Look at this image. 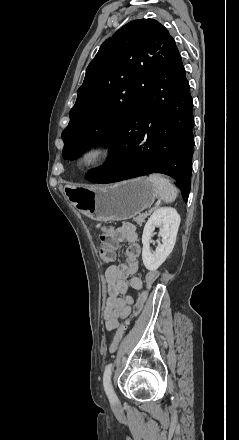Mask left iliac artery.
<instances>
[{"mask_svg": "<svg viewBox=\"0 0 239 440\" xmlns=\"http://www.w3.org/2000/svg\"><path fill=\"white\" fill-rule=\"evenodd\" d=\"M112 370H113V364L110 363L106 366L104 371L103 385L108 398L110 399L111 402H114L117 400V397L111 383Z\"/></svg>", "mask_w": 239, "mask_h": 440, "instance_id": "obj_1", "label": "left iliac artery"}]
</instances>
